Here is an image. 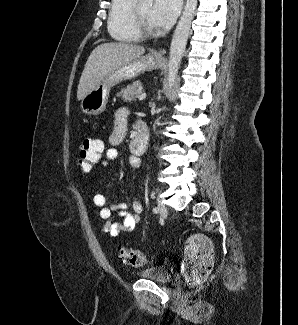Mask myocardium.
<instances>
[{
  "label": "myocardium",
  "instance_id": "1",
  "mask_svg": "<svg viewBox=\"0 0 298 325\" xmlns=\"http://www.w3.org/2000/svg\"><path fill=\"white\" fill-rule=\"evenodd\" d=\"M141 2V0H132L130 3L129 29L138 39H152L158 37L160 31L150 30L143 23L139 11Z\"/></svg>",
  "mask_w": 298,
  "mask_h": 325
}]
</instances>
